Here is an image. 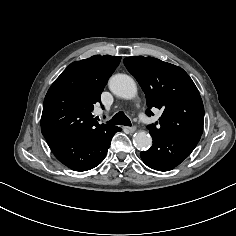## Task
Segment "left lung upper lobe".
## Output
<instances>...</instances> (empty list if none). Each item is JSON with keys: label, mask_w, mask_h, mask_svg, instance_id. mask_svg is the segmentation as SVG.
Wrapping results in <instances>:
<instances>
[{"label": "left lung upper lobe", "mask_w": 236, "mask_h": 236, "mask_svg": "<svg viewBox=\"0 0 236 236\" xmlns=\"http://www.w3.org/2000/svg\"><path fill=\"white\" fill-rule=\"evenodd\" d=\"M128 71L143 89L148 109H162L155 124L148 125L150 132L167 135L191 133L202 135L204 106L199 91L189 75L180 67L153 57L124 59Z\"/></svg>", "instance_id": "obj_1"}]
</instances>
